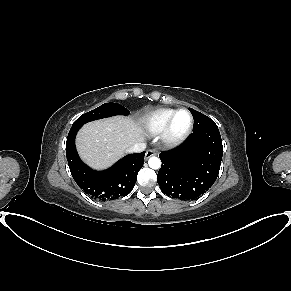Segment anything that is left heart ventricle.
<instances>
[{
	"label": "left heart ventricle",
	"mask_w": 291,
	"mask_h": 291,
	"mask_svg": "<svg viewBox=\"0 0 291 291\" xmlns=\"http://www.w3.org/2000/svg\"><path fill=\"white\" fill-rule=\"evenodd\" d=\"M189 124V115L185 112L179 113L174 119V131L181 132Z\"/></svg>",
	"instance_id": "b2bd125f"
}]
</instances>
